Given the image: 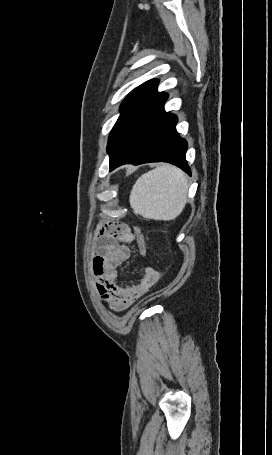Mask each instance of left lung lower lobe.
<instances>
[{
	"instance_id": "obj_1",
	"label": "left lung lower lobe",
	"mask_w": 272,
	"mask_h": 455,
	"mask_svg": "<svg viewBox=\"0 0 272 455\" xmlns=\"http://www.w3.org/2000/svg\"><path fill=\"white\" fill-rule=\"evenodd\" d=\"M161 92L123 127L109 150L110 171L126 163L168 162L191 175L185 159L187 142L177 133V117L165 112Z\"/></svg>"
}]
</instances>
